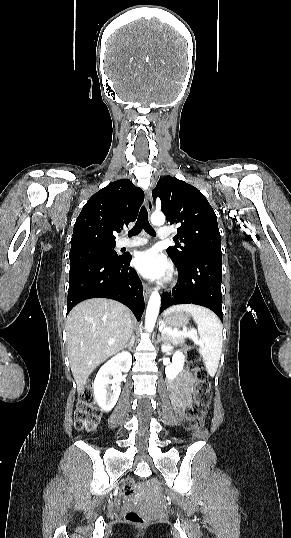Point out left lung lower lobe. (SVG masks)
<instances>
[{"mask_svg": "<svg viewBox=\"0 0 291 538\" xmlns=\"http://www.w3.org/2000/svg\"><path fill=\"white\" fill-rule=\"evenodd\" d=\"M179 283L161 297L160 313L176 304H196L214 311L221 321L222 255L199 254L176 265Z\"/></svg>", "mask_w": 291, "mask_h": 538, "instance_id": "obj_1", "label": "left lung lower lobe"}]
</instances>
